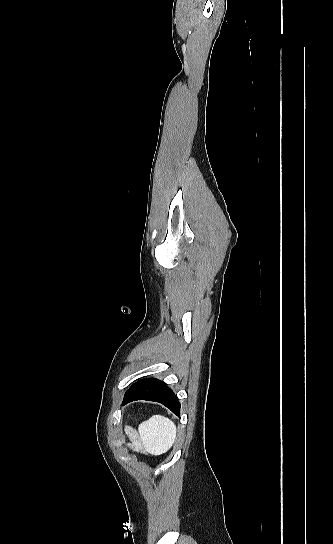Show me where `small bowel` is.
Returning <instances> with one entry per match:
<instances>
[{
	"label": "small bowel",
	"mask_w": 333,
	"mask_h": 544,
	"mask_svg": "<svg viewBox=\"0 0 333 544\" xmlns=\"http://www.w3.org/2000/svg\"><path fill=\"white\" fill-rule=\"evenodd\" d=\"M128 435L131 439L132 446L136 451H144V445L140 436L133 430H128Z\"/></svg>",
	"instance_id": "obj_1"
}]
</instances>
